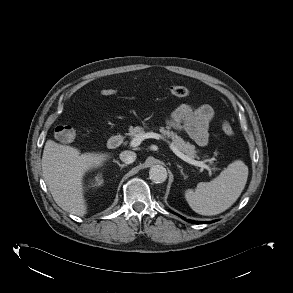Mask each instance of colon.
<instances>
[{"label": "colon", "mask_w": 293, "mask_h": 293, "mask_svg": "<svg viewBox=\"0 0 293 293\" xmlns=\"http://www.w3.org/2000/svg\"><path fill=\"white\" fill-rule=\"evenodd\" d=\"M105 96L115 95L117 93L114 89H104L101 92ZM169 93L175 97H186L189 95L190 91L184 86H171L169 88ZM223 132L229 136H234V130L229 121L224 120L222 122ZM76 135V130L73 126L66 123H60L55 128V136L62 143H71Z\"/></svg>", "instance_id": "1"}]
</instances>
